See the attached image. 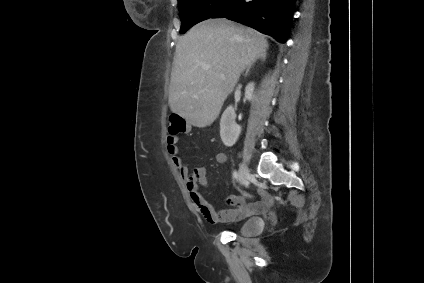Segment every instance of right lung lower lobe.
<instances>
[{"mask_svg":"<svg viewBox=\"0 0 424 283\" xmlns=\"http://www.w3.org/2000/svg\"><path fill=\"white\" fill-rule=\"evenodd\" d=\"M296 0H230L211 18H227L286 41Z\"/></svg>","mask_w":424,"mask_h":283,"instance_id":"1","label":"right lung lower lobe"}]
</instances>
